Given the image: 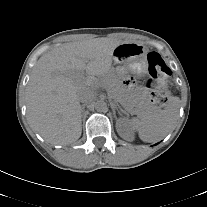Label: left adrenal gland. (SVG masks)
<instances>
[{
  "label": "left adrenal gland",
  "mask_w": 207,
  "mask_h": 207,
  "mask_svg": "<svg viewBox=\"0 0 207 207\" xmlns=\"http://www.w3.org/2000/svg\"><path fill=\"white\" fill-rule=\"evenodd\" d=\"M111 107H112V110H113V113H114V117L116 118V110L119 112L120 110V106L118 104H115L114 102H111Z\"/></svg>",
  "instance_id": "a2214340"
}]
</instances>
